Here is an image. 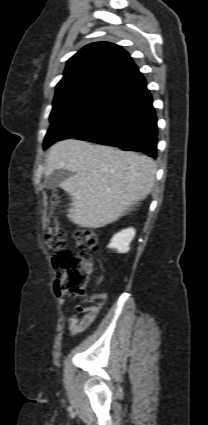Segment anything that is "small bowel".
<instances>
[{
	"label": "small bowel",
	"mask_w": 208,
	"mask_h": 425,
	"mask_svg": "<svg viewBox=\"0 0 208 425\" xmlns=\"http://www.w3.org/2000/svg\"><path fill=\"white\" fill-rule=\"evenodd\" d=\"M58 303L64 305L66 303L65 298L60 292L57 291ZM106 294L104 293H93L89 296V300L94 302V305L87 307H76V313H73L68 319V328L72 335L82 333L89 328L95 321L99 311L101 310ZM81 314V315H79Z\"/></svg>",
	"instance_id": "1"
}]
</instances>
